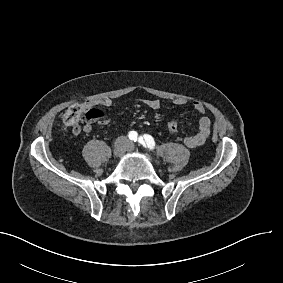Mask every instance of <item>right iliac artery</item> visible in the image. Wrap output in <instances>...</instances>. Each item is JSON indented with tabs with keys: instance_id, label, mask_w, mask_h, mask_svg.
Instances as JSON below:
<instances>
[{
	"instance_id": "right-iliac-artery-1",
	"label": "right iliac artery",
	"mask_w": 283,
	"mask_h": 283,
	"mask_svg": "<svg viewBox=\"0 0 283 283\" xmlns=\"http://www.w3.org/2000/svg\"><path fill=\"white\" fill-rule=\"evenodd\" d=\"M128 137L130 140H133L134 142H136L138 134L136 131H130Z\"/></svg>"
}]
</instances>
